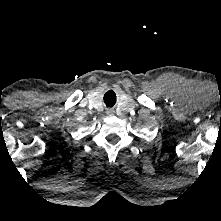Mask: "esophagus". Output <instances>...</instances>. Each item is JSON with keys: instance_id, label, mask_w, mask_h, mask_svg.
I'll use <instances>...</instances> for the list:
<instances>
[{"instance_id": "esophagus-1", "label": "esophagus", "mask_w": 221, "mask_h": 221, "mask_svg": "<svg viewBox=\"0 0 221 221\" xmlns=\"http://www.w3.org/2000/svg\"><path fill=\"white\" fill-rule=\"evenodd\" d=\"M111 112H112V110H109V111H108V113H111Z\"/></svg>"}]
</instances>
